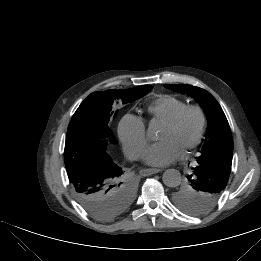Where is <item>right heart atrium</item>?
<instances>
[{
    "mask_svg": "<svg viewBox=\"0 0 261 261\" xmlns=\"http://www.w3.org/2000/svg\"><path fill=\"white\" fill-rule=\"evenodd\" d=\"M118 136L125 153L132 159L139 158L148 142L144 120L133 114H126L118 124Z\"/></svg>",
    "mask_w": 261,
    "mask_h": 261,
    "instance_id": "right-heart-atrium-1",
    "label": "right heart atrium"
}]
</instances>
